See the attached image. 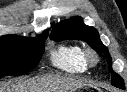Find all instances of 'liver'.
<instances>
[{
	"mask_svg": "<svg viewBox=\"0 0 127 92\" xmlns=\"http://www.w3.org/2000/svg\"><path fill=\"white\" fill-rule=\"evenodd\" d=\"M86 85L81 79L59 75H44L18 82L5 92H73ZM0 92H3L0 90Z\"/></svg>",
	"mask_w": 127,
	"mask_h": 92,
	"instance_id": "6515ba94",
	"label": "liver"
}]
</instances>
